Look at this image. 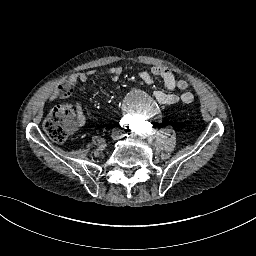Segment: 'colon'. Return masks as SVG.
<instances>
[{
    "label": "colon",
    "instance_id": "obj_1",
    "mask_svg": "<svg viewBox=\"0 0 256 256\" xmlns=\"http://www.w3.org/2000/svg\"><path fill=\"white\" fill-rule=\"evenodd\" d=\"M75 84L73 81L61 83L57 88L60 97H67L74 91ZM178 87L185 90L188 82L185 77H179ZM43 128L50 139L55 142H64L75 129V120L72 115V108L68 104L56 106L43 123Z\"/></svg>",
    "mask_w": 256,
    "mask_h": 256
}]
</instances>
